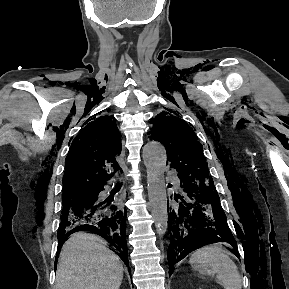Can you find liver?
I'll list each match as a JSON object with an SVG mask.
<instances>
[{"label": "liver", "mask_w": 289, "mask_h": 289, "mask_svg": "<svg viewBox=\"0 0 289 289\" xmlns=\"http://www.w3.org/2000/svg\"><path fill=\"white\" fill-rule=\"evenodd\" d=\"M122 279L119 257L100 237L78 232L63 245L55 289H119Z\"/></svg>", "instance_id": "liver-1"}]
</instances>
